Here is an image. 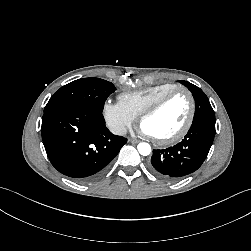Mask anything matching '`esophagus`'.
Segmentation results:
<instances>
[{"label": "esophagus", "mask_w": 251, "mask_h": 251, "mask_svg": "<svg viewBox=\"0 0 251 251\" xmlns=\"http://www.w3.org/2000/svg\"><path fill=\"white\" fill-rule=\"evenodd\" d=\"M128 142L132 143V144H137V143H139V140L133 139V138H128Z\"/></svg>", "instance_id": "esophagus-1"}]
</instances>
